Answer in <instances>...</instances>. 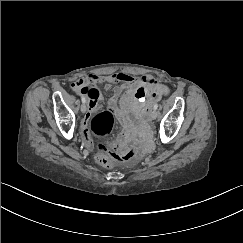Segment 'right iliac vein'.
<instances>
[{"instance_id": "right-iliac-vein-1", "label": "right iliac vein", "mask_w": 243, "mask_h": 243, "mask_svg": "<svg viewBox=\"0 0 243 243\" xmlns=\"http://www.w3.org/2000/svg\"><path fill=\"white\" fill-rule=\"evenodd\" d=\"M86 110H87V107H86L85 103H83V104L81 105V112H82V113H85Z\"/></svg>"}]
</instances>
